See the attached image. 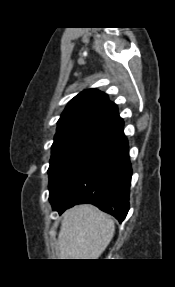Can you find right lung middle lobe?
<instances>
[{
	"instance_id": "obj_1",
	"label": "right lung middle lobe",
	"mask_w": 175,
	"mask_h": 287,
	"mask_svg": "<svg viewBox=\"0 0 175 287\" xmlns=\"http://www.w3.org/2000/svg\"><path fill=\"white\" fill-rule=\"evenodd\" d=\"M116 128L107 125H85L57 131L50 159L49 191L94 147Z\"/></svg>"
}]
</instances>
